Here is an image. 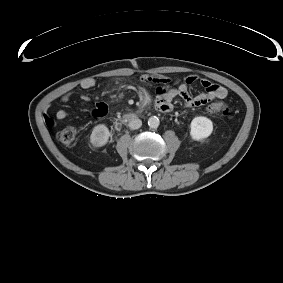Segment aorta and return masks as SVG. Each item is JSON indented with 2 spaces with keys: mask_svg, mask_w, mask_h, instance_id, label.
Returning <instances> with one entry per match:
<instances>
[{
  "mask_svg": "<svg viewBox=\"0 0 283 283\" xmlns=\"http://www.w3.org/2000/svg\"><path fill=\"white\" fill-rule=\"evenodd\" d=\"M159 124H160V121H159L158 117H156V116H152L148 119V125H149L150 128L156 129V128H158Z\"/></svg>",
  "mask_w": 283,
  "mask_h": 283,
  "instance_id": "obj_1",
  "label": "aorta"
}]
</instances>
